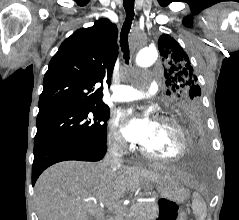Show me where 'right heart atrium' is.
Instances as JSON below:
<instances>
[{
	"instance_id": "obj_1",
	"label": "right heart atrium",
	"mask_w": 239,
	"mask_h": 220,
	"mask_svg": "<svg viewBox=\"0 0 239 220\" xmlns=\"http://www.w3.org/2000/svg\"><path fill=\"white\" fill-rule=\"evenodd\" d=\"M108 143L117 153H123L127 148V145L119 131V122L117 118H113L109 123Z\"/></svg>"
}]
</instances>
